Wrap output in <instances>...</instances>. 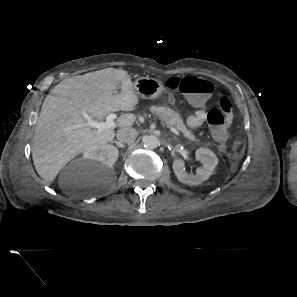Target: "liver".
<instances>
[{"instance_id": "liver-1", "label": "liver", "mask_w": 297, "mask_h": 297, "mask_svg": "<svg viewBox=\"0 0 297 297\" xmlns=\"http://www.w3.org/2000/svg\"><path fill=\"white\" fill-rule=\"evenodd\" d=\"M119 83L121 91L116 93ZM138 103L131 77L123 69L106 68L57 84L46 96L36 123L31 151L37 173L50 184L78 154L113 140V128L97 134L83 111L100 121L111 112L133 111ZM135 120L133 113L122 114L116 126L131 127Z\"/></svg>"}]
</instances>
